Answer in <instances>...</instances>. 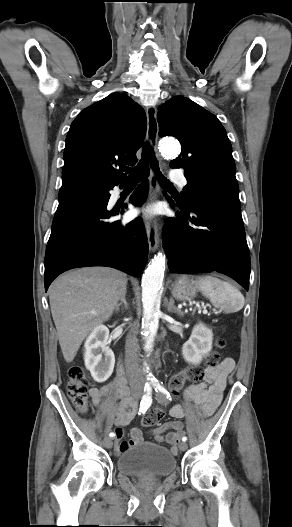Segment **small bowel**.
<instances>
[{"label":"small bowel","instance_id":"small-bowel-1","mask_svg":"<svg viewBox=\"0 0 292 527\" xmlns=\"http://www.w3.org/2000/svg\"><path fill=\"white\" fill-rule=\"evenodd\" d=\"M234 362L231 358H225L217 367L208 368L205 372V382L191 384L184 390V395L188 401L193 402L201 414L206 417L212 415L217 409L222 399V394L226 386L228 374L232 371ZM90 397L95 405H98L105 397H111L118 401L116 408V430L117 441L123 436L122 428L127 426L134 418L137 412V404L131 400L128 388L125 382L118 378L113 382L90 390ZM173 421L163 423L154 428L151 432L157 442L164 441V433L169 444L173 446V452H176V444L179 440L180 433L183 430V424L180 421L184 416V410L181 405H174L170 410ZM129 441L117 442L115 450L121 453L128 448L139 444L143 440V432L134 428L131 431Z\"/></svg>","mask_w":292,"mask_h":527}]
</instances>
